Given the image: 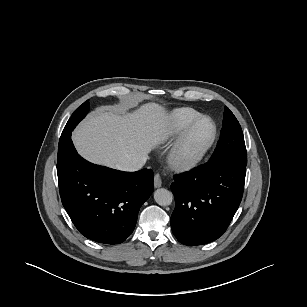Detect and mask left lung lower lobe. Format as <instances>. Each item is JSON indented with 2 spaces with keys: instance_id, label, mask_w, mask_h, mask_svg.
<instances>
[{
  "instance_id": "1",
  "label": "left lung lower lobe",
  "mask_w": 307,
  "mask_h": 307,
  "mask_svg": "<svg viewBox=\"0 0 307 307\" xmlns=\"http://www.w3.org/2000/svg\"><path fill=\"white\" fill-rule=\"evenodd\" d=\"M246 168L207 162L174 176L171 228L184 245L207 244L226 231L242 199Z\"/></svg>"
}]
</instances>
